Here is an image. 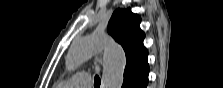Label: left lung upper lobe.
I'll list each match as a JSON object with an SVG mask.
<instances>
[{"instance_id":"1","label":"left lung upper lobe","mask_w":223,"mask_h":88,"mask_svg":"<svg viewBox=\"0 0 223 88\" xmlns=\"http://www.w3.org/2000/svg\"><path fill=\"white\" fill-rule=\"evenodd\" d=\"M141 19L131 9H117L108 24V33L122 45L127 64L125 71L147 64V49L143 45L145 37L140 29Z\"/></svg>"}]
</instances>
